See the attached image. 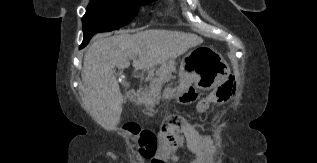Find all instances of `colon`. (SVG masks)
<instances>
[{
    "mask_svg": "<svg viewBox=\"0 0 317 163\" xmlns=\"http://www.w3.org/2000/svg\"><path fill=\"white\" fill-rule=\"evenodd\" d=\"M236 89L233 78L226 80L223 84L215 88L208 96L202 98L198 104L197 109L200 112L207 111L214 103H223L230 99ZM182 103H189L191 101L190 95H185L180 100ZM131 134L137 137V144L141 156L145 159L153 160L156 157L159 136L152 130L141 129L135 124L128 125L126 128Z\"/></svg>",
    "mask_w": 317,
    "mask_h": 163,
    "instance_id": "1",
    "label": "colon"
}]
</instances>
